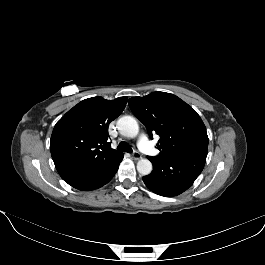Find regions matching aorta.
<instances>
[{
    "label": "aorta",
    "mask_w": 265,
    "mask_h": 265,
    "mask_svg": "<svg viewBox=\"0 0 265 265\" xmlns=\"http://www.w3.org/2000/svg\"><path fill=\"white\" fill-rule=\"evenodd\" d=\"M118 128L121 135L134 138L139 133V125L135 118L131 116H123L118 120ZM138 172L145 176L149 175L152 171V163L148 159H140L137 162Z\"/></svg>",
    "instance_id": "obj_1"
}]
</instances>
